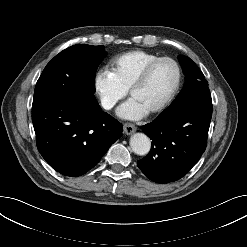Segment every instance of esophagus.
I'll return each mask as SVG.
<instances>
[{
    "mask_svg": "<svg viewBox=\"0 0 247 247\" xmlns=\"http://www.w3.org/2000/svg\"><path fill=\"white\" fill-rule=\"evenodd\" d=\"M123 129H124L125 134L127 135H131L132 133L136 131V127L131 123H124Z\"/></svg>",
    "mask_w": 247,
    "mask_h": 247,
    "instance_id": "esophagus-1",
    "label": "esophagus"
}]
</instances>
